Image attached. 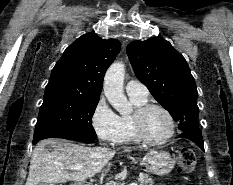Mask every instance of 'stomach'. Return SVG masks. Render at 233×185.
<instances>
[{"instance_id":"0dacf381","label":"stomach","mask_w":233,"mask_h":185,"mask_svg":"<svg viewBox=\"0 0 233 185\" xmlns=\"http://www.w3.org/2000/svg\"><path fill=\"white\" fill-rule=\"evenodd\" d=\"M141 165L147 172L162 176L172 171L175 159L168 152L151 150L143 156Z\"/></svg>"}]
</instances>
